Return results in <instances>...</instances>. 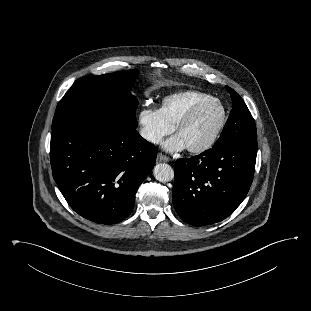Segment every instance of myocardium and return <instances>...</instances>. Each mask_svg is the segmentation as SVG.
I'll use <instances>...</instances> for the list:
<instances>
[{
	"label": "myocardium",
	"instance_id": "myocardium-1",
	"mask_svg": "<svg viewBox=\"0 0 311 311\" xmlns=\"http://www.w3.org/2000/svg\"><path fill=\"white\" fill-rule=\"evenodd\" d=\"M210 103H216L219 107H220V118L219 121L214 129V131L212 132L211 136L207 139L206 142H204L203 144L199 145V146H195V147H187V150L191 153H203L207 150H209L218 140L225 124H226V120H227V113H226V109L225 106L223 105V103L214 97H211L209 99L203 100L201 102H199L198 104H196L195 106H193L176 124L175 126V131L176 133H178L183 127H185L186 125H188L194 118L195 116L208 104Z\"/></svg>",
	"mask_w": 311,
	"mask_h": 311
}]
</instances>
